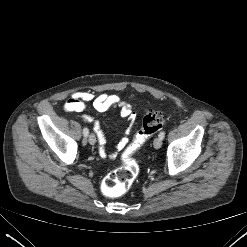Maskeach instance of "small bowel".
<instances>
[{"mask_svg":"<svg viewBox=\"0 0 247 247\" xmlns=\"http://www.w3.org/2000/svg\"><path fill=\"white\" fill-rule=\"evenodd\" d=\"M89 103L92 104L93 108L96 111L101 113L119 109L120 116L122 118H127L129 121L133 120L131 106L121 101L119 96L115 94H107V93L95 94L90 91L75 92L65 102L64 109L66 111L81 112L86 109V106ZM82 119L83 121L87 123H91L93 125V129L98 138L99 154L101 157L115 158L117 156L118 151L123 149L124 146L126 145L128 141L127 136L129 134V131L126 132L125 136L117 144L115 150L109 153L105 147L106 136L101 128L100 122L88 114L82 115Z\"/></svg>","mask_w":247,"mask_h":247,"instance_id":"1","label":"small bowel"}]
</instances>
